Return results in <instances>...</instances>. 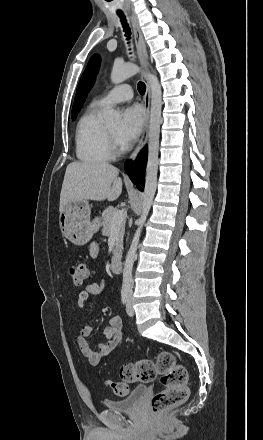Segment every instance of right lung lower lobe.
Wrapping results in <instances>:
<instances>
[{
    "instance_id": "1",
    "label": "right lung lower lobe",
    "mask_w": 263,
    "mask_h": 440,
    "mask_svg": "<svg viewBox=\"0 0 263 440\" xmlns=\"http://www.w3.org/2000/svg\"><path fill=\"white\" fill-rule=\"evenodd\" d=\"M147 162V149L144 148L135 161L128 160L125 164V170L130 176L137 188L143 191L144 188V171Z\"/></svg>"
}]
</instances>
